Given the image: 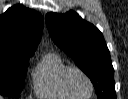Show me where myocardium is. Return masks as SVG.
<instances>
[{
  "label": "myocardium",
  "instance_id": "f54148a6",
  "mask_svg": "<svg viewBox=\"0 0 128 99\" xmlns=\"http://www.w3.org/2000/svg\"><path fill=\"white\" fill-rule=\"evenodd\" d=\"M73 72H78L80 73L88 82L89 86H90V93L88 96L86 97H80V98H90L92 95H93V92H94V85H93V82L91 80V78L89 77V75L84 71L82 70L81 68L79 67H76V66H70L64 73L63 75V85H64V88L65 90L72 96V97H79L77 96L76 94L73 93V91L71 90L70 88V85H69V77L70 75L73 73Z\"/></svg>",
  "mask_w": 128,
  "mask_h": 99
}]
</instances>
